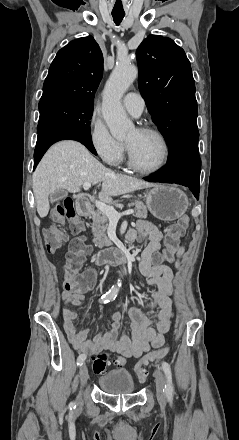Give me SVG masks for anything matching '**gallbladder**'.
Here are the masks:
<instances>
[{"label": "gallbladder", "instance_id": "obj_1", "mask_svg": "<svg viewBox=\"0 0 239 440\" xmlns=\"http://www.w3.org/2000/svg\"><path fill=\"white\" fill-rule=\"evenodd\" d=\"M67 192L65 190H54L52 194H50V202H57V200H63V198H66Z\"/></svg>", "mask_w": 239, "mask_h": 440}]
</instances>
